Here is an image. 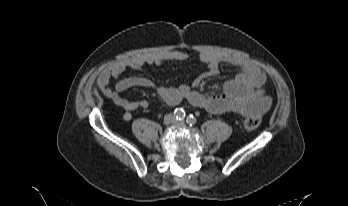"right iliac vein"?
Here are the masks:
<instances>
[{
    "label": "right iliac vein",
    "mask_w": 348,
    "mask_h": 206,
    "mask_svg": "<svg viewBox=\"0 0 348 206\" xmlns=\"http://www.w3.org/2000/svg\"><path fill=\"white\" fill-rule=\"evenodd\" d=\"M175 121V118L173 115L169 114V115H166L165 118H164V122L166 124H170V123H173Z\"/></svg>",
    "instance_id": "1"
}]
</instances>
